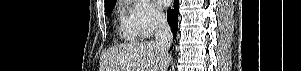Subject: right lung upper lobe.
<instances>
[{"label": "right lung upper lobe", "instance_id": "cb5924a9", "mask_svg": "<svg viewBox=\"0 0 301 71\" xmlns=\"http://www.w3.org/2000/svg\"><path fill=\"white\" fill-rule=\"evenodd\" d=\"M112 1H114V0H105V4L110 3Z\"/></svg>", "mask_w": 301, "mask_h": 71}]
</instances>
